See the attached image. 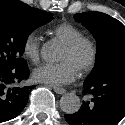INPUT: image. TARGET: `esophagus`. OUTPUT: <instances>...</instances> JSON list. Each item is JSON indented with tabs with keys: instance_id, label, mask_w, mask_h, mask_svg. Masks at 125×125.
<instances>
[{
	"instance_id": "1",
	"label": "esophagus",
	"mask_w": 125,
	"mask_h": 125,
	"mask_svg": "<svg viewBox=\"0 0 125 125\" xmlns=\"http://www.w3.org/2000/svg\"><path fill=\"white\" fill-rule=\"evenodd\" d=\"M53 90L57 93V94H64L66 93V90L64 88L61 87H53Z\"/></svg>"
}]
</instances>
